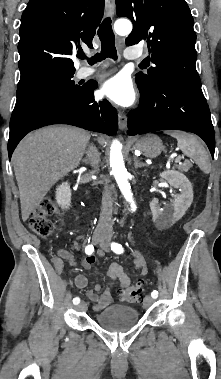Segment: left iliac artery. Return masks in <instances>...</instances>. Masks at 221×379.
<instances>
[{
	"label": "left iliac artery",
	"instance_id": "1",
	"mask_svg": "<svg viewBox=\"0 0 221 379\" xmlns=\"http://www.w3.org/2000/svg\"><path fill=\"white\" fill-rule=\"evenodd\" d=\"M111 249L113 250V252L117 253V254H122L124 252V248L122 247L121 244H118L116 242H113L111 244ZM151 297L152 298H157L158 297V291L154 290L151 292Z\"/></svg>",
	"mask_w": 221,
	"mask_h": 379
}]
</instances>
